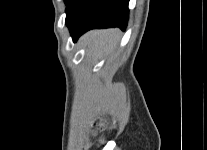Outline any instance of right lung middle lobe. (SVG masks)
Wrapping results in <instances>:
<instances>
[{
    "mask_svg": "<svg viewBox=\"0 0 207 150\" xmlns=\"http://www.w3.org/2000/svg\"><path fill=\"white\" fill-rule=\"evenodd\" d=\"M74 0H65V4L67 7H69L72 3H73Z\"/></svg>",
    "mask_w": 207,
    "mask_h": 150,
    "instance_id": "right-lung-middle-lobe-1",
    "label": "right lung middle lobe"
}]
</instances>
